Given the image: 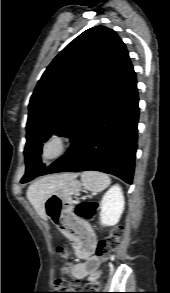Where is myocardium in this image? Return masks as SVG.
<instances>
[{"mask_svg": "<svg viewBox=\"0 0 170 293\" xmlns=\"http://www.w3.org/2000/svg\"><path fill=\"white\" fill-rule=\"evenodd\" d=\"M69 146V139L64 133H54L42 143L40 156L44 160H56L67 152Z\"/></svg>", "mask_w": 170, "mask_h": 293, "instance_id": "f54148a6", "label": "myocardium"}]
</instances>
